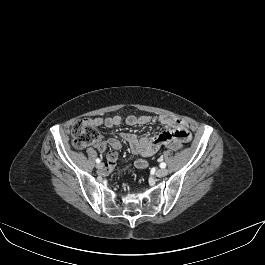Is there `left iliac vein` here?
I'll return each mask as SVG.
<instances>
[{"instance_id": "1", "label": "left iliac vein", "mask_w": 265, "mask_h": 265, "mask_svg": "<svg viewBox=\"0 0 265 265\" xmlns=\"http://www.w3.org/2000/svg\"><path fill=\"white\" fill-rule=\"evenodd\" d=\"M167 174H168V170L165 169V168H161V169H158V170L156 171V176H157V177H164V176H166Z\"/></svg>"}]
</instances>
